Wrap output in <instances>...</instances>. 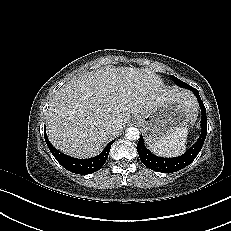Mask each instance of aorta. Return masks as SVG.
<instances>
[{
    "label": "aorta",
    "mask_w": 231,
    "mask_h": 231,
    "mask_svg": "<svg viewBox=\"0 0 231 231\" xmlns=\"http://www.w3.org/2000/svg\"><path fill=\"white\" fill-rule=\"evenodd\" d=\"M125 136L128 140L135 141L138 140L140 137V132L137 128L135 127H129L125 131Z\"/></svg>",
    "instance_id": "762f6f07"
}]
</instances>
